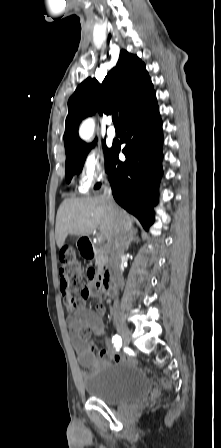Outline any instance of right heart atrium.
Masks as SVG:
<instances>
[{
	"label": "right heart atrium",
	"mask_w": 221,
	"mask_h": 448,
	"mask_svg": "<svg viewBox=\"0 0 221 448\" xmlns=\"http://www.w3.org/2000/svg\"><path fill=\"white\" fill-rule=\"evenodd\" d=\"M107 175L104 157L98 151L89 152L82 163L80 188L89 190L95 184L103 181Z\"/></svg>",
	"instance_id": "d8ad5b80"
}]
</instances>
